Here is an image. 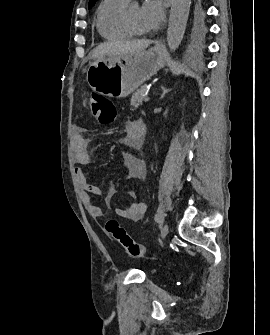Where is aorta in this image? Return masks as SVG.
<instances>
[{
	"label": "aorta",
	"mask_w": 270,
	"mask_h": 335,
	"mask_svg": "<svg viewBox=\"0 0 270 335\" xmlns=\"http://www.w3.org/2000/svg\"><path fill=\"white\" fill-rule=\"evenodd\" d=\"M190 4L191 0H173L172 2L167 30V42L170 50H176L181 44L186 30Z\"/></svg>",
	"instance_id": "1"
}]
</instances>
